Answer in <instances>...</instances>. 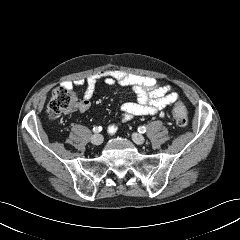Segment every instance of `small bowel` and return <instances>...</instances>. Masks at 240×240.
I'll return each mask as SVG.
<instances>
[{
  "mask_svg": "<svg viewBox=\"0 0 240 240\" xmlns=\"http://www.w3.org/2000/svg\"><path fill=\"white\" fill-rule=\"evenodd\" d=\"M103 80L109 86L119 85L129 88L135 94L134 102H125L121 106L120 121H129L138 116L163 115L164 109L178 100V94L168 85H158L152 77L140 76L120 70H100L89 77L65 82L68 88L84 87L80 110L90 107L96 84ZM118 123L109 126V132L115 133Z\"/></svg>",
  "mask_w": 240,
  "mask_h": 240,
  "instance_id": "small-bowel-1",
  "label": "small bowel"
}]
</instances>
